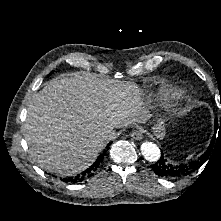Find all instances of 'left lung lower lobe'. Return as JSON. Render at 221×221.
<instances>
[{"label": "left lung lower lobe", "mask_w": 221, "mask_h": 221, "mask_svg": "<svg viewBox=\"0 0 221 221\" xmlns=\"http://www.w3.org/2000/svg\"><path fill=\"white\" fill-rule=\"evenodd\" d=\"M209 151L210 148L196 160L181 164L172 163L171 160L162 155L155 164L151 165V168L158 176L168 179L181 178L195 171L206 160Z\"/></svg>", "instance_id": "obj_1"}]
</instances>
